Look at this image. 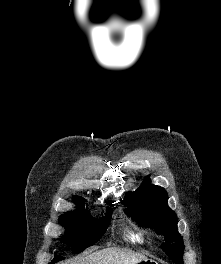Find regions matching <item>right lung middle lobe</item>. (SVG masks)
Here are the masks:
<instances>
[{"label": "right lung middle lobe", "mask_w": 221, "mask_h": 264, "mask_svg": "<svg viewBox=\"0 0 221 264\" xmlns=\"http://www.w3.org/2000/svg\"><path fill=\"white\" fill-rule=\"evenodd\" d=\"M112 203L111 201L108 204L113 206ZM110 218L109 207L106 217L97 221L90 218L85 210L67 212L59 218V223L68 230L62 241L72 247L73 253H80L85 248L94 245L102 237L109 226ZM63 259L61 256H55L50 264Z\"/></svg>", "instance_id": "1"}]
</instances>
